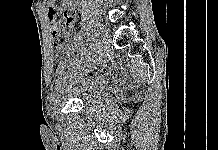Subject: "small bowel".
Wrapping results in <instances>:
<instances>
[{"instance_id": "c3829d8e", "label": "small bowel", "mask_w": 218, "mask_h": 150, "mask_svg": "<svg viewBox=\"0 0 218 150\" xmlns=\"http://www.w3.org/2000/svg\"><path fill=\"white\" fill-rule=\"evenodd\" d=\"M47 4V17L51 23L52 35L60 30H72L75 22V4L73 0H63L57 7L56 0H45Z\"/></svg>"}]
</instances>
